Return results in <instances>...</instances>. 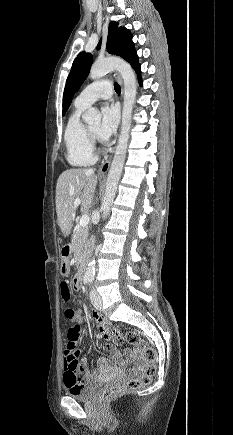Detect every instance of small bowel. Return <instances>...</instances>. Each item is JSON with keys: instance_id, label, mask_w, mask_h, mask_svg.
Masks as SVG:
<instances>
[{"instance_id": "1", "label": "small bowel", "mask_w": 233, "mask_h": 435, "mask_svg": "<svg viewBox=\"0 0 233 435\" xmlns=\"http://www.w3.org/2000/svg\"><path fill=\"white\" fill-rule=\"evenodd\" d=\"M79 288V282L75 280L72 284L63 282L59 287V294L61 297L65 298L69 295L71 289L77 290ZM92 318L98 324V333L104 340H109L110 334L108 332V325L104 322L102 315L98 311H94L91 314ZM69 321L73 324V328L68 331L67 338L68 342L75 344V340L79 338L80 334V324L82 318L80 312L77 311L75 318ZM67 342V343H68ZM108 350L113 357V361L105 357H101L98 360V367L96 369H87V358L76 353H65L63 361V383L68 388H72V383L69 380L70 376L76 377L79 373H84L82 377L81 384H86L93 381L99 375H105L113 371H118L123 369V363L120 359L118 350L112 346H108ZM125 354L129 357L131 361L136 362L135 368L132 370L138 373L142 370V359L139 354V348L126 349ZM80 386H76L79 388Z\"/></svg>"}]
</instances>
